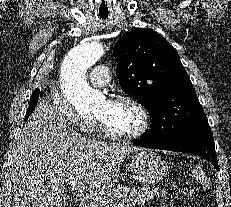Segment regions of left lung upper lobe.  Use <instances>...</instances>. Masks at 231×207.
<instances>
[{
	"label": "left lung upper lobe",
	"mask_w": 231,
	"mask_h": 207,
	"mask_svg": "<svg viewBox=\"0 0 231 207\" xmlns=\"http://www.w3.org/2000/svg\"><path fill=\"white\" fill-rule=\"evenodd\" d=\"M121 88L150 111L152 128L142 137L164 143L211 131L177 51L152 30L137 28L115 44Z\"/></svg>",
	"instance_id": "1"
}]
</instances>
